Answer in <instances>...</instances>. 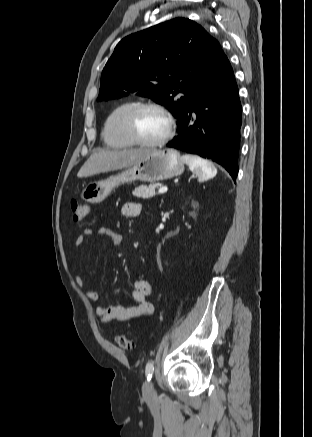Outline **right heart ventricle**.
Wrapping results in <instances>:
<instances>
[{
    "mask_svg": "<svg viewBox=\"0 0 312 437\" xmlns=\"http://www.w3.org/2000/svg\"><path fill=\"white\" fill-rule=\"evenodd\" d=\"M133 105L132 101H124L114 107L107 115L102 128V138L107 146L128 148L134 145L124 129V117Z\"/></svg>",
    "mask_w": 312,
    "mask_h": 437,
    "instance_id": "1",
    "label": "right heart ventricle"
}]
</instances>
